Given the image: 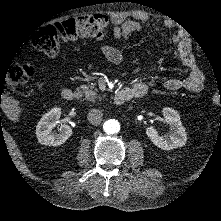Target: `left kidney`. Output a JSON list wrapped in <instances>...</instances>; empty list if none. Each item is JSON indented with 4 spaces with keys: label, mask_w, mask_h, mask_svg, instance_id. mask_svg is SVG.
Returning a JSON list of instances; mask_svg holds the SVG:
<instances>
[{
    "label": "left kidney",
    "mask_w": 221,
    "mask_h": 221,
    "mask_svg": "<svg viewBox=\"0 0 221 221\" xmlns=\"http://www.w3.org/2000/svg\"><path fill=\"white\" fill-rule=\"evenodd\" d=\"M162 112L164 122L169 125V131L160 136L158 131L153 126H150L146 129L147 136L155 146L163 150H172L184 146L187 141V134L178 111L165 107Z\"/></svg>",
    "instance_id": "left-kidney-1"
}]
</instances>
